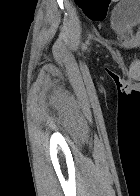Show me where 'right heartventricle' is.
<instances>
[{
  "label": "right heart ventricle",
  "instance_id": "1",
  "mask_svg": "<svg viewBox=\"0 0 140 196\" xmlns=\"http://www.w3.org/2000/svg\"><path fill=\"white\" fill-rule=\"evenodd\" d=\"M92 192H109V191H92Z\"/></svg>",
  "mask_w": 140,
  "mask_h": 196
}]
</instances>
